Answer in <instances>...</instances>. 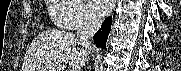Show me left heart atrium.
I'll list each match as a JSON object with an SVG mask.
<instances>
[{
    "instance_id": "1",
    "label": "left heart atrium",
    "mask_w": 181,
    "mask_h": 71,
    "mask_svg": "<svg viewBox=\"0 0 181 71\" xmlns=\"http://www.w3.org/2000/svg\"><path fill=\"white\" fill-rule=\"evenodd\" d=\"M90 4L96 13L102 15V14H106L111 9L112 1L111 0H91Z\"/></svg>"
}]
</instances>
